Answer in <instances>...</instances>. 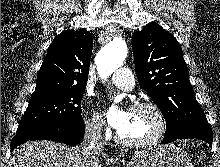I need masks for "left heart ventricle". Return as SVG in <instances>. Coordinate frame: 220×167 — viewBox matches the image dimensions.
I'll use <instances>...</instances> for the list:
<instances>
[{"label":"left heart ventricle","mask_w":220,"mask_h":167,"mask_svg":"<svg viewBox=\"0 0 220 167\" xmlns=\"http://www.w3.org/2000/svg\"><path fill=\"white\" fill-rule=\"evenodd\" d=\"M157 129V119L150 110L131 109L129 119L120 135L132 141L147 139Z\"/></svg>","instance_id":"1"}]
</instances>
